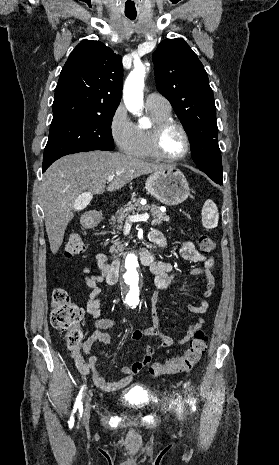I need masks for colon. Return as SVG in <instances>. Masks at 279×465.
Listing matches in <instances>:
<instances>
[{"instance_id":"5ec220e1","label":"colon","mask_w":279,"mask_h":465,"mask_svg":"<svg viewBox=\"0 0 279 465\" xmlns=\"http://www.w3.org/2000/svg\"><path fill=\"white\" fill-rule=\"evenodd\" d=\"M197 242L203 252H210L215 246L213 239L206 233L199 234ZM84 251L85 243L82 238L77 234L71 235L64 249L65 257L80 256ZM51 306V325L64 333L65 343L71 354H78L83 341L81 322L84 312L82 308L74 304L70 294L62 288L53 291ZM207 340L206 333L203 330H197L188 349L182 355L170 358L163 363L150 365L148 368L150 376L159 377L190 371L205 354Z\"/></svg>"}]
</instances>
